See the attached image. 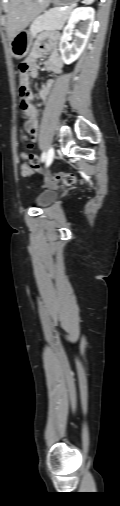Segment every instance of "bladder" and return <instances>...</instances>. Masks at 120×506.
Wrapping results in <instances>:
<instances>
[{"mask_svg": "<svg viewBox=\"0 0 120 506\" xmlns=\"http://www.w3.org/2000/svg\"><path fill=\"white\" fill-rule=\"evenodd\" d=\"M57 199V192L55 190H44L39 193L35 199L40 207H46Z\"/></svg>", "mask_w": 120, "mask_h": 506, "instance_id": "obj_1", "label": "bladder"}]
</instances>
